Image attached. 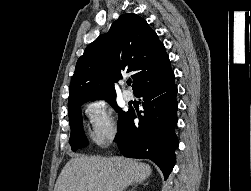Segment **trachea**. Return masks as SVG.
<instances>
[{"mask_svg": "<svg viewBox=\"0 0 251 191\" xmlns=\"http://www.w3.org/2000/svg\"><path fill=\"white\" fill-rule=\"evenodd\" d=\"M127 85H131V80H127Z\"/></svg>", "mask_w": 251, "mask_h": 191, "instance_id": "obj_1", "label": "trachea"}]
</instances>
